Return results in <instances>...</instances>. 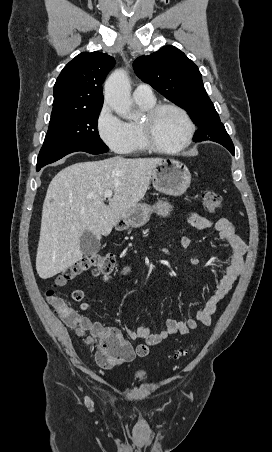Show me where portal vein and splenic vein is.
Returning a JSON list of instances; mask_svg holds the SVG:
<instances>
[{
  "label": "portal vein and splenic vein",
  "instance_id": "18ae733b",
  "mask_svg": "<svg viewBox=\"0 0 272 452\" xmlns=\"http://www.w3.org/2000/svg\"><path fill=\"white\" fill-rule=\"evenodd\" d=\"M103 195H104L105 198H111L112 195H113V192L111 190H107V191L104 192Z\"/></svg>",
  "mask_w": 272,
  "mask_h": 452
}]
</instances>
